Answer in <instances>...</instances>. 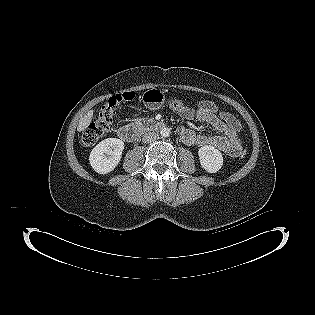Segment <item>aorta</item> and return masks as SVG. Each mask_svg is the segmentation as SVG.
<instances>
[{"label": "aorta", "mask_w": 315, "mask_h": 315, "mask_svg": "<svg viewBox=\"0 0 315 315\" xmlns=\"http://www.w3.org/2000/svg\"><path fill=\"white\" fill-rule=\"evenodd\" d=\"M170 133H171V131L167 127L162 128L161 131H160L161 136L164 137V138L169 137Z\"/></svg>", "instance_id": "1"}]
</instances>
